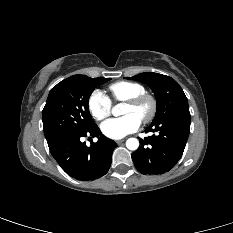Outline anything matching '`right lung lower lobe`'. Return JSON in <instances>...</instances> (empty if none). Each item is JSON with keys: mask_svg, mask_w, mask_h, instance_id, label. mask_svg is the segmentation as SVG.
<instances>
[{"mask_svg": "<svg viewBox=\"0 0 233 233\" xmlns=\"http://www.w3.org/2000/svg\"><path fill=\"white\" fill-rule=\"evenodd\" d=\"M97 137L96 143L86 146L82 137ZM50 152L60 167L70 176L87 181L105 175L112 162L117 144L101 134L95 124L84 132L68 133L47 142Z\"/></svg>", "mask_w": 233, "mask_h": 233, "instance_id": "obj_1", "label": "right lung lower lobe"}]
</instances>
